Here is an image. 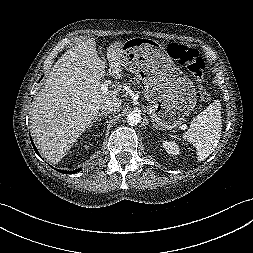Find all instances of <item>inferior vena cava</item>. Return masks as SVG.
<instances>
[{"instance_id": "602c4592", "label": "inferior vena cava", "mask_w": 253, "mask_h": 253, "mask_svg": "<svg viewBox=\"0 0 253 253\" xmlns=\"http://www.w3.org/2000/svg\"><path fill=\"white\" fill-rule=\"evenodd\" d=\"M120 107L121 100H119V98H113L103 102L100 106V109L103 113L109 114L118 111Z\"/></svg>"}]
</instances>
